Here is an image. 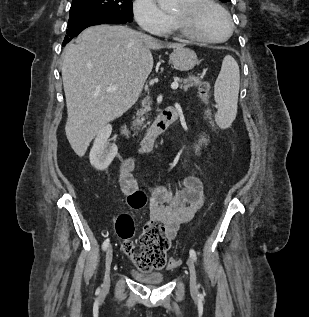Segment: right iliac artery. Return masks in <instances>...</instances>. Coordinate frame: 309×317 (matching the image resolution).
Instances as JSON below:
<instances>
[{
  "label": "right iliac artery",
  "instance_id": "1",
  "mask_svg": "<svg viewBox=\"0 0 309 317\" xmlns=\"http://www.w3.org/2000/svg\"><path fill=\"white\" fill-rule=\"evenodd\" d=\"M109 244H110V240H109V239H106V240L103 242L102 249H103V250H106V249L109 247Z\"/></svg>",
  "mask_w": 309,
  "mask_h": 317
}]
</instances>
